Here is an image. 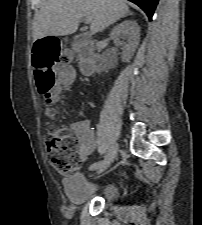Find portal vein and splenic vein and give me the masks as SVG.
Masks as SVG:
<instances>
[{"instance_id": "1", "label": "portal vein and splenic vein", "mask_w": 202, "mask_h": 225, "mask_svg": "<svg viewBox=\"0 0 202 225\" xmlns=\"http://www.w3.org/2000/svg\"><path fill=\"white\" fill-rule=\"evenodd\" d=\"M85 23L86 24H89V23H91V21H92V19L90 18V17H85Z\"/></svg>"}]
</instances>
